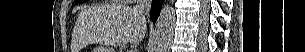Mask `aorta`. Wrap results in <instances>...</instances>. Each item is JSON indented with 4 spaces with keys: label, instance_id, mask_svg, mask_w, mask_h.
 Returning <instances> with one entry per match:
<instances>
[{
    "label": "aorta",
    "instance_id": "762f6f07",
    "mask_svg": "<svg viewBox=\"0 0 305 52\" xmlns=\"http://www.w3.org/2000/svg\"><path fill=\"white\" fill-rule=\"evenodd\" d=\"M175 14L171 6L165 5L159 14L150 52H169L173 39Z\"/></svg>",
    "mask_w": 305,
    "mask_h": 52
}]
</instances>
